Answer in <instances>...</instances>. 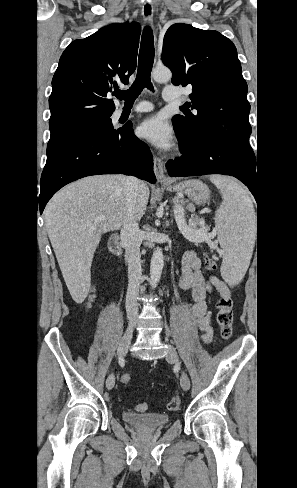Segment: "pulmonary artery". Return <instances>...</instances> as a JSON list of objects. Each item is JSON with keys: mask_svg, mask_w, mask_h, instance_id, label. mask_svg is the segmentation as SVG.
<instances>
[{"mask_svg": "<svg viewBox=\"0 0 297 488\" xmlns=\"http://www.w3.org/2000/svg\"><path fill=\"white\" fill-rule=\"evenodd\" d=\"M179 97L178 91L173 87H165L163 90V98L166 101H176ZM153 109V106L150 103L144 102L131 110V113H142V112H149Z\"/></svg>", "mask_w": 297, "mask_h": 488, "instance_id": "pulmonary-artery-1", "label": "pulmonary artery"}]
</instances>
